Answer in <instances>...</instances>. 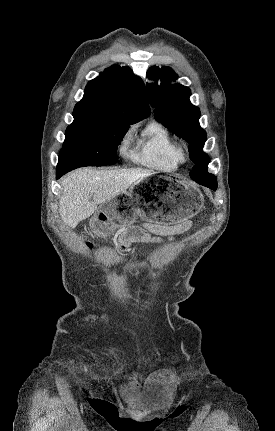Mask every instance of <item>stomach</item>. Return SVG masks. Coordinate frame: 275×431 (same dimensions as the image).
Wrapping results in <instances>:
<instances>
[{
  "label": "stomach",
  "mask_w": 275,
  "mask_h": 431,
  "mask_svg": "<svg viewBox=\"0 0 275 431\" xmlns=\"http://www.w3.org/2000/svg\"><path fill=\"white\" fill-rule=\"evenodd\" d=\"M203 206L202 193L189 182L151 175L135 182L129 191L102 203L90 227L97 236L106 237L117 228L132 225L138 216L150 223L176 225L195 216Z\"/></svg>",
  "instance_id": "obj_1"
}]
</instances>
